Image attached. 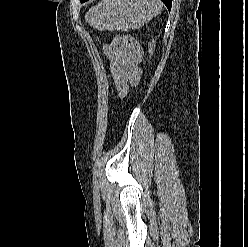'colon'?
<instances>
[{
  "instance_id": "5ec220e1",
  "label": "colon",
  "mask_w": 248,
  "mask_h": 247,
  "mask_svg": "<svg viewBox=\"0 0 248 247\" xmlns=\"http://www.w3.org/2000/svg\"><path fill=\"white\" fill-rule=\"evenodd\" d=\"M116 40L121 41L127 44L128 46H130L135 54L138 64L142 62L143 50H142L141 45L134 38L128 35H118L116 36Z\"/></svg>"
}]
</instances>
